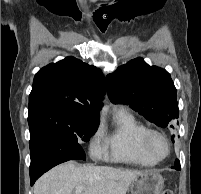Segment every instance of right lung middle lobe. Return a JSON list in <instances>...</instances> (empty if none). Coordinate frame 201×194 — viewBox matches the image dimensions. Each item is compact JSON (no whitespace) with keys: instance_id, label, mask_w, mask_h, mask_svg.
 Listing matches in <instances>:
<instances>
[{"instance_id":"dd1d6c3e","label":"right lung middle lobe","mask_w":201,"mask_h":194,"mask_svg":"<svg viewBox=\"0 0 201 194\" xmlns=\"http://www.w3.org/2000/svg\"><path fill=\"white\" fill-rule=\"evenodd\" d=\"M99 118L76 115L60 102L43 101L29 105L28 123L30 133L45 128L52 133L60 134L74 141L81 139L88 142L96 132ZM75 159L85 160L80 153Z\"/></svg>"}]
</instances>
